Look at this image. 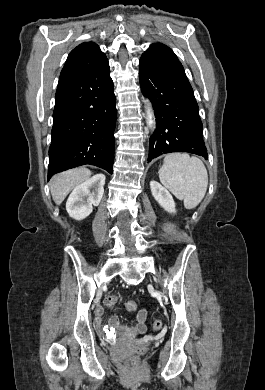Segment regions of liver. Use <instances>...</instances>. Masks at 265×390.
I'll return each instance as SVG.
<instances>
[{
  "label": "liver",
  "mask_w": 265,
  "mask_h": 390,
  "mask_svg": "<svg viewBox=\"0 0 265 390\" xmlns=\"http://www.w3.org/2000/svg\"><path fill=\"white\" fill-rule=\"evenodd\" d=\"M91 174L89 169L81 167L55 175L51 180V194L54 202L60 205L70 191L87 181Z\"/></svg>",
  "instance_id": "obj_1"
}]
</instances>
